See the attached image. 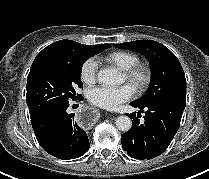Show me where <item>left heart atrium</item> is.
Listing matches in <instances>:
<instances>
[{
	"mask_svg": "<svg viewBox=\"0 0 209 179\" xmlns=\"http://www.w3.org/2000/svg\"><path fill=\"white\" fill-rule=\"evenodd\" d=\"M134 93V87L129 84L119 87H97L89 91L88 99L98 107L114 110L131 99Z\"/></svg>",
	"mask_w": 209,
	"mask_h": 179,
	"instance_id": "1",
	"label": "left heart atrium"
}]
</instances>
